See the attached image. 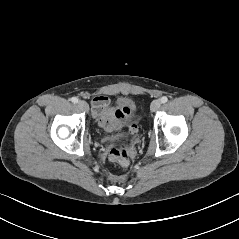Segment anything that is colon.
Segmentation results:
<instances>
[{"mask_svg": "<svg viewBox=\"0 0 239 239\" xmlns=\"http://www.w3.org/2000/svg\"><path fill=\"white\" fill-rule=\"evenodd\" d=\"M131 132H136V127H131ZM110 161L117 163L121 166H127L130 162V150L127 144H121L115 148H113L109 153Z\"/></svg>", "mask_w": 239, "mask_h": 239, "instance_id": "obj_1", "label": "colon"}]
</instances>
